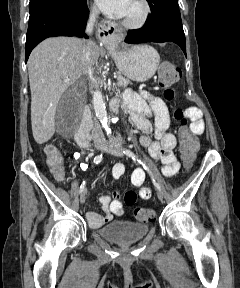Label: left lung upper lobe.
<instances>
[{
  "label": "left lung upper lobe",
  "mask_w": 240,
  "mask_h": 288,
  "mask_svg": "<svg viewBox=\"0 0 240 288\" xmlns=\"http://www.w3.org/2000/svg\"><path fill=\"white\" fill-rule=\"evenodd\" d=\"M147 1L150 5V8L153 9L159 1H163V0H147ZM164 1H170L172 3L178 4V0H164Z\"/></svg>",
  "instance_id": "5c2ea615"
}]
</instances>
